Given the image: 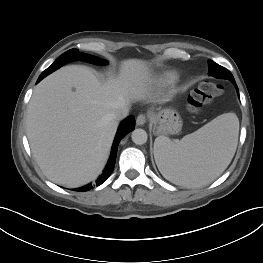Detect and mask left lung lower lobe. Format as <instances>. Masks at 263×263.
<instances>
[{
	"label": "left lung lower lobe",
	"mask_w": 263,
	"mask_h": 263,
	"mask_svg": "<svg viewBox=\"0 0 263 263\" xmlns=\"http://www.w3.org/2000/svg\"><path fill=\"white\" fill-rule=\"evenodd\" d=\"M209 74L210 75H216V71H215V69H214V67L213 66H209ZM236 85V84H235Z\"/></svg>",
	"instance_id": "left-lung-lower-lobe-1"
}]
</instances>
